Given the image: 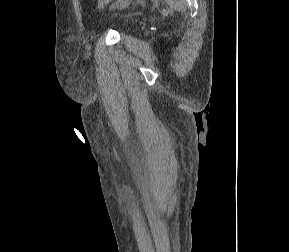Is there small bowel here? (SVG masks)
Masks as SVG:
<instances>
[{
  "mask_svg": "<svg viewBox=\"0 0 289 252\" xmlns=\"http://www.w3.org/2000/svg\"><path fill=\"white\" fill-rule=\"evenodd\" d=\"M111 2L112 0H95L97 8H103Z\"/></svg>",
  "mask_w": 289,
  "mask_h": 252,
  "instance_id": "obj_1",
  "label": "small bowel"
}]
</instances>
